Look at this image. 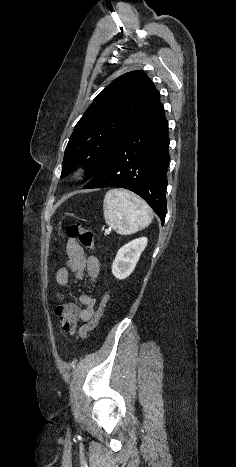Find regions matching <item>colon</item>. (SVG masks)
Instances as JSON below:
<instances>
[{"mask_svg": "<svg viewBox=\"0 0 236 467\" xmlns=\"http://www.w3.org/2000/svg\"><path fill=\"white\" fill-rule=\"evenodd\" d=\"M66 234L70 239L78 240V242L82 246L88 249H91V250L95 249L93 232L89 229L84 228L80 222H74V223L69 224L66 228ZM106 301H107V297H105L102 300L100 307L97 313L95 314L94 318L79 329V335L82 339H86L88 337L89 332L93 330L98 324L102 316L104 307L106 305Z\"/></svg>", "mask_w": 236, "mask_h": 467, "instance_id": "1", "label": "colon"}]
</instances>
